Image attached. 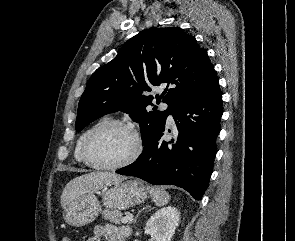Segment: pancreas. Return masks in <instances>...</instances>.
I'll return each instance as SVG.
<instances>
[{
	"mask_svg": "<svg viewBox=\"0 0 295 241\" xmlns=\"http://www.w3.org/2000/svg\"><path fill=\"white\" fill-rule=\"evenodd\" d=\"M104 214V218L106 220H109L112 223H115L117 225H120L122 223V213L118 210H109V209H105L103 211Z\"/></svg>",
	"mask_w": 295,
	"mask_h": 241,
	"instance_id": "cf45deb5",
	"label": "pancreas"
}]
</instances>
